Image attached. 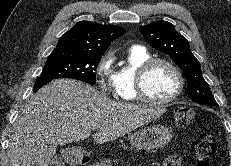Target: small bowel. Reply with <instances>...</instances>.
I'll return each instance as SVG.
<instances>
[{
	"label": "small bowel",
	"instance_id": "small-bowel-1",
	"mask_svg": "<svg viewBox=\"0 0 231 166\" xmlns=\"http://www.w3.org/2000/svg\"><path fill=\"white\" fill-rule=\"evenodd\" d=\"M152 166H160L159 164H154V165H152Z\"/></svg>",
	"mask_w": 231,
	"mask_h": 166
}]
</instances>
